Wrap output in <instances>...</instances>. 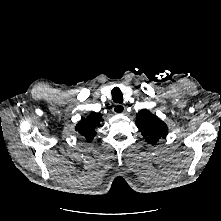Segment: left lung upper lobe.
Masks as SVG:
<instances>
[{
  "instance_id": "obj_1",
  "label": "left lung upper lobe",
  "mask_w": 221,
  "mask_h": 221,
  "mask_svg": "<svg viewBox=\"0 0 221 221\" xmlns=\"http://www.w3.org/2000/svg\"><path fill=\"white\" fill-rule=\"evenodd\" d=\"M136 125L148 143H155L168 133L166 124L146 109L136 115Z\"/></svg>"
}]
</instances>
